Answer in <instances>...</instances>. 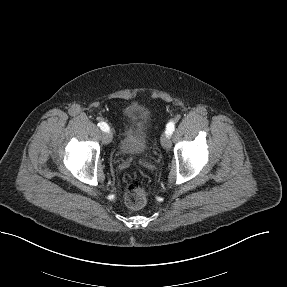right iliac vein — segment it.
Wrapping results in <instances>:
<instances>
[{
  "label": "right iliac vein",
  "mask_w": 287,
  "mask_h": 287,
  "mask_svg": "<svg viewBox=\"0 0 287 287\" xmlns=\"http://www.w3.org/2000/svg\"><path fill=\"white\" fill-rule=\"evenodd\" d=\"M112 141V134L111 132H106L102 135V142L104 144H109Z\"/></svg>",
  "instance_id": "right-iliac-vein-1"
}]
</instances>
